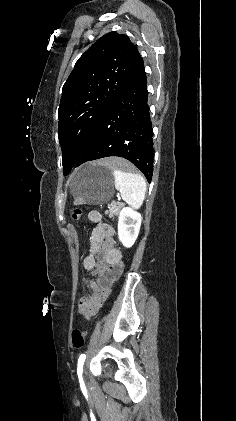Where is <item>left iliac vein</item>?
<instances>
[{
	"label": "left iliac vein",
	"mask_w": 236,
	"mask_h": 421,
	"mask_svg": "<svg viewBox=\"0 0 236 421\" xmlns=\"http://www.w3.org/2000/svg\"><path fill=\"white\" fill-rule=\"evenodd\" d=\"M87 365L88 364H86L85 366H84V378H85V381H87Z\"/></svg>",
	"instance_id": "1"
}]
</instances>
